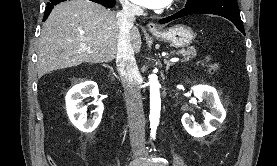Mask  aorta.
Listing matches in <instances>:
<instances>
[{
    "label": "aorta",
    "instance_id": "762f6f07",
    "mask_svg": "<svg viewBox=\"0 0 277 166\" xmlns=\"http://www.w3.org/2000/svg\"><path fill=\"white\" fill-rule=\"evenodd\" d=\"M150 84V127L151 136L155 138L156 130L159 124L161 99H160V84L156 75L149 77Z\"/></svg>",
    "mask_w": 277,
    "mask_h": 166
}]
</instances>
